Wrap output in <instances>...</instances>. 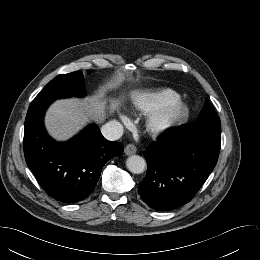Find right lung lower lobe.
<instances>
[{
    "instance_id": "1",
    "label": "right lung lower lobe",
    "mask_w": 260,
    "mask_h": 260,
    "mask_svg": "<svg viewBox=\"0 0 260 260\" xmlns=\"http://www.w3.org/2000/svg\"><path fill=\"white\" fill-rule=\"evenodd\" d=\"M54 100H33L25 119L24 155L44 191L63 203L88 197L105 163L123 152L119 142L106 140L95 125L67 142L51 139L45 131V110Z\"/></svg>"
}]
</instances>
